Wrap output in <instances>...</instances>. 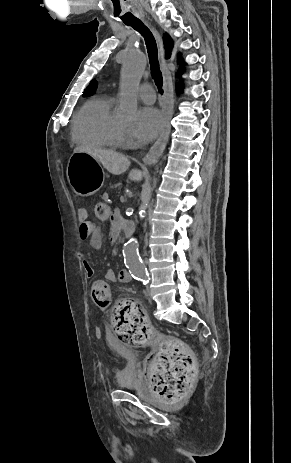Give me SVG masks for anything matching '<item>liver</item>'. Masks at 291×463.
<instances>
[{"mask_svg":"<svg viewBox=\"0 0 291 463\" xmlns=\"http://www.w3.org/2000/svg\"><path fill=\"white\" fill-rule=\"evenodd\" d=\"M74 152L88 153L99 161L108 172L114 175L124 173L130 166V161L125 155L114 151L78 146L74 149ZM129 177L134 181H141L143 173L139 169H132L129 173Z\"/></svg>","mask_w":291,"mask_h":463,"instance_id":"1","label":"liver"}]
</instances>
